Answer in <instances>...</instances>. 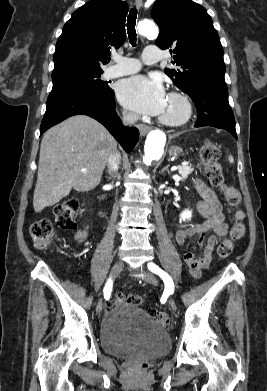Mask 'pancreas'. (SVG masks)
<instances>
[{"mask_svg": "<svg viewBox=\"0 0 267 391\" xmlns=\"http://www.w3.org/2000/svg\"><path fill=\"white\" fill-rule=\"evenodd\" d=\"M194 168L192 166H179L178 172L182 179H186L189 174L193 172Z\"/></svg>", "mask_w": 267, "mask_h": 391, "instance_id": "cf45deb5", "label": "pancreas"}]
</instances>
